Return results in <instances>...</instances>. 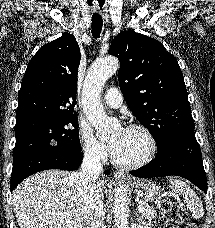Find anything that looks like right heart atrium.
<instances>
[{
    "mask_svg": "<svg viewBox=\"0 0 215 228\" xmlns=\"http://www.w3.org/2000/svg\"><path fill=\"white\" fill-rule=\"evenodd\" d=\"M77 141L83 156L93 162H103L109 154L108 147L101 142L86 124H79L77 128Z\"/></svg>",
    "mask_w": 215,
    "mask_h": 228,
    "instance_id": "d8ad5b80",
    "label": "right heart atrium"
}]
</instances>
